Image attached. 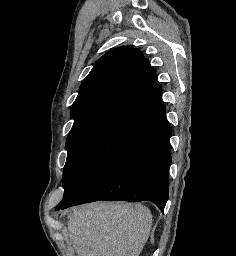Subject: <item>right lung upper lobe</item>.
<instances>
[{
    "instance_id": "obj_1",
    "label": "right lung upper lobe",
    "mask_w": 236,
    "mask_h": 256,
    "mask_svg": "<svg viewBox=\"0 0 236 256\" xmlns=\"http://www.w3.org/2000/svg\"><path fill=\"white\" fill-rule=\"evenodd\" d=\"M159 87L142 52L118 47L102 56L82 82L71 106L73 125L117 113L153 124L166 117Z\"/></svg>"
}]
</instances>
